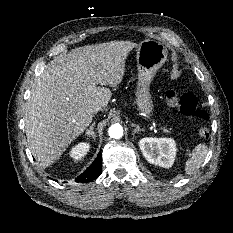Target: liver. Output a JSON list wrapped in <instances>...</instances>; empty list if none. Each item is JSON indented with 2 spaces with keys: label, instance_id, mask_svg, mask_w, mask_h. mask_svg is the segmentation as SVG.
<instances>
[{
  "label": "liver",
  "instance_id": "6515ba94",
  "mask_svg": "<svg viewBox=\"0 0 233 233\" xmlns=\"http://www.w3.org/2000/svg\"><path fill=\"white\" fill-rule=\"evenodd\" d=\"M137 46L130 41H110L75 48L36 79L26 105L25 132L42 167L59 159L85 131L95 107H107L112 92L101 86L120 84L125 60Z\"/></svg>",
  "mask_w": 233,
  "mask_h": 233
}]
</instances>
